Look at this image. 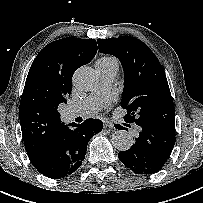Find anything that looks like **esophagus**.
I'll return each instance as SVG.
<instances>
[{
    "instance_id": "1",
    "label": "esophagus",
    "mask_w": 203,
    "mask_h": 203,
    "mask_svg": "<svg viewBox=\"0 0 203 203\" xmlns=\"http://www.w3.org/2000/svg\"><path fill=\"white\" fill-rule=\"evenodd\" d=\"M103 125H104V128H109L111 130H114V124L108 120H104L103 121Z\"/></svg>"
}]
</instances>
